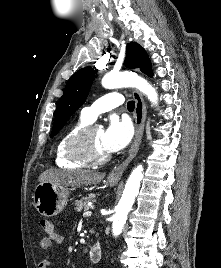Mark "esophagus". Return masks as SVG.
Listing matches in <instances>:
<instances>
[{
    "instance_id": "34e87169",
    "label": "esophagus",
    "mask_w": 221,
    "mask_h": 268,
    "mask_svg": "<svg viewBox=\"0 0 221 268\" xmlns=\"http://www.w3.org/2000/svg\"><path fill=\"white\" fill-rule=\"evenodd\" d=\"M133 98L135 100V110H134V119H135V137L133 143L129 149L128 157L118 166H115L109 173L110 179H120L126 170L130 161L136 156L139 146L142 141L145 120L147 115L146 104L141 93L137 90L132 92Z\"/></svg>"
}]
</instances>
